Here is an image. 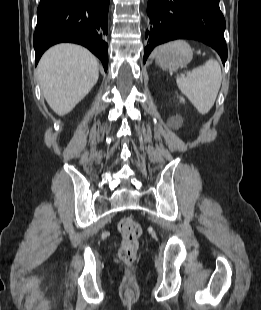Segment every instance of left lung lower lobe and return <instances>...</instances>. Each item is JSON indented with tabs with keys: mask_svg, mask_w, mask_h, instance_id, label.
Here are the masks:
<instances>
[{
	"mask_svg": "<svg viewBox=\"0 0 261 310\" xmlns=\"http://www.w3.org/2000/svg\"><path fill=\"white\" fill-rule=\"evenodd\" d=\"M147 14L151 26L145 35L148 45L145 48L144 63L155 46L182 38L206 43L218 52L225 63L226 25L219 0H149Z\"/></svg>",
	"mask_w": 261,
	"mask_h": 310,
	"instance_id": "left-lung-lower-lobe-1",
	"label": "left lung lower lobe"
}]
</instances>
